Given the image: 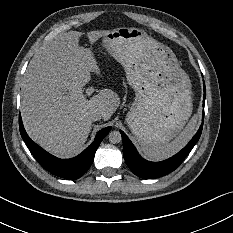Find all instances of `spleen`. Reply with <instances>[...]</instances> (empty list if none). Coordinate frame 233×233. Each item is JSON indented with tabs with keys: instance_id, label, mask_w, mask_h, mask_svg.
<instances>
[{
	"instance_id": "3e777b00",
	"label": "spleen",
	"mask_w": 233,
	"mask_h": 233,
	"mask_svg": "<svg viewBox=\"0 0 233 233\" xmlns=\"http://www.w3.org/2000/svg\"><path fill=\"white\" fill-rule=\"evenodd\" d=\"M198 113H194L186 128L172 142L159 147H142L141 150L146 158L160 162L171 158L182 150L191 140L198 122Z\"/></svg>"
}]
</instances>
